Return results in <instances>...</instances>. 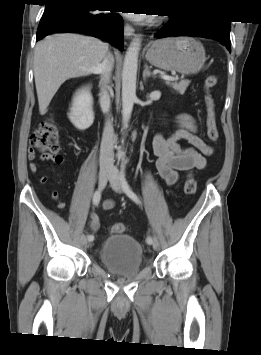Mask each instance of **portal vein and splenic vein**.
Returning a JSON list of instances; mask_svg holds the SVG:
<instances>
[{
    "instance_id": "18ae733b",
    "label": "portal vein and splenic vein",
    "mask_w": 261,
    "mask_h": 355,
    "mask_svg": "<svg viewBox=\"0 0 261 355\" xmlns=\"http://www.w3.org/2000/svg\"><path fill=\"white\" fill-rule=\"evenodd\" d=\"M162 79L167 80V81H174L177 79V77L169 76V75H162Z\"/></svg>"
}]
</instances>
